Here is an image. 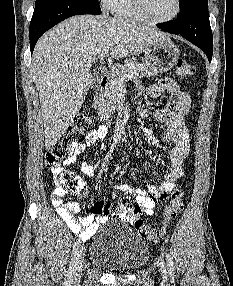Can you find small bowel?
Wrapping results in <instances>:
<instances>
[{"label": "small bowel", "instance_id": "small-bowel-1", "mask_svg": "<svg viewBox=\"0 0 233 286\" xmlns=\"http://www.w3.org/2000/svg\"><path fill=\"white\" fill-rule=\"evenodd\" d=\"M169 92L173 95L166 107L154 112L153 117L158 122L166 123V129L162 135L164 141H173L174 147L170 151L169 170L164 175L163 180L158 186L150 184L146 189L134 187L126 183H119L115 189L125 195L134 198L133 204L109 203L96 201L91 205V212L86 216H77L80 211V204L74 201H64L66 190L58 182L51 193V203L67 223L69 228L79 235L82 241L88 240L112 217H118L124 222H132L131 209L137 207L142 213L151 215L155 204L166 199L173 190L176 181L182 176V165L189 155V131L185 125L186 117L190 110L191 99L188 93L182 91L179 85L171 78H164L158 83L150 86L136 85L138 95L146 94L151 98H159L164 93ZM108 134V128L100 125L98 128L91 130L83 142L79 143L71 157L64 161L65 166L76 163L77 157L82 154L87 147L103 141ZM102 149L105 145L102 144ZM81 170L85 175L93 176L96 174L97 165L89 164L83 161ZM85 193H77L83 195Z\"/></svg>", "mask_w": 233, "mask_h": 286}]
</instances>
